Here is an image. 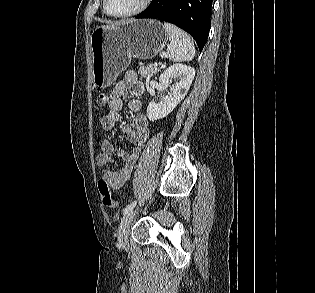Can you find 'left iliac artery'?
Masks as SVG:
<instances>
[{
    "label": "left iliac artery",
    "mask_w": 315,
    "mask_h": 293,
    "mask_svg": "<svg viewBox=\"0 0 315 293\" xmlns=\"http://www.w3.org/2000/svg\"><path fill=\"white\" fill-rule=\"evenodd\" d=\"M137 201L132 202L131 204L127 205L123 211V215L127 214L129 211H131L135 205H136Z\"/></svg>",
    "instance_id": "1"
}]
</instances>
